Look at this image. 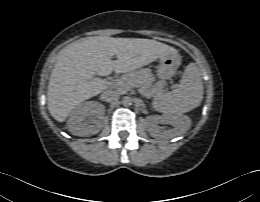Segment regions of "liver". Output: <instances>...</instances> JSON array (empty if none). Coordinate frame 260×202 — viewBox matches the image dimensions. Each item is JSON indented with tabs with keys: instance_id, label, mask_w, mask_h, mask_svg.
<instances>
[{
	"instance_id": "6515ba94",
	"label": "liver",
	"mask_w": 260,
	"mask_h": 202,
	"mask_svg": "<svg viewBox=\"0 0 260 202\" xmlns=\"http://www.w3.org/2000/svg\"><path fill=\"white\" fill-rule=\"evenodd\" d=\"M175 52L164 43L142 38L93 36L72 42L60 52L52 70L48 110L55 120L63 122L79 104L107 88L104 80L94 77L95 73H126ZM114 55L115 61L111 59Z\"/></svg>"
}]
</instances>
